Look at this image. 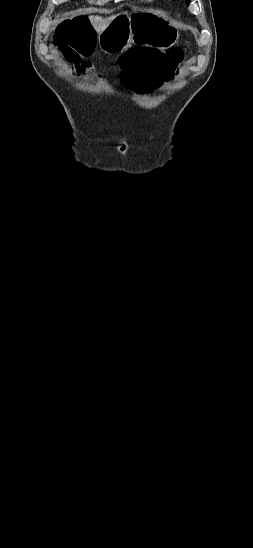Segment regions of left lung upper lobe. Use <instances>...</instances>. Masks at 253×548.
<instances>
[{"label":"left lung upper lobe","instance_id":"5c2ea615","mask_svg":"<svg viewBox=\"0 0 253 548\" xmlns=\"http://www.w3.org/2000/svg\"><path fill=\"white\" fill-rule=\"evenodd\" d=\"M190 0H186V3L189 4Z\"/></svg>","mask_w":253,"mask_h":548}]
</instances>
